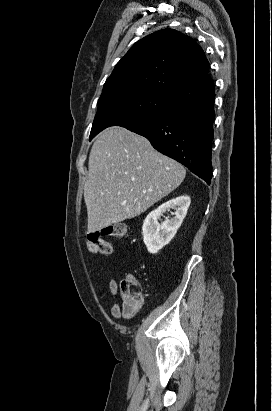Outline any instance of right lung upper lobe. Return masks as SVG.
Wrapping results in <instances>:
<instances>
[{
  "instance_id": "cb5924a9",
  "label": "right lung upper lobe",
  "mask_w": 272,
  "mask_h": 411,
  "mask_svg": "<svg viewBox=\"0 0 272 411\" xmlns=\"http://www.w3.org/2000/svg\"><path fill=\"white\" fill-rule=\"evenodd\" d=\"M208 68L202 48L192 38L176 30H160L130 48L102 93L149 89L182 104L215 91Z\"/></svg>"
}]
</instances>
